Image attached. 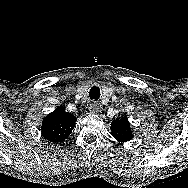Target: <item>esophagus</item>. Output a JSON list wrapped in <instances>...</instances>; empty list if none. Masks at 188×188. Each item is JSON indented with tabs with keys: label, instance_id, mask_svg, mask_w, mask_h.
Returning a JSON list of instances; mask_svg holds the SVG:
<instances>
[{
	"label": "esophagus",
	"instance_id": "esophagus-1",
	"mask_svg": "<svg viewBox=\"0 0 188 188\" xmlns=\"http://www.w3.org/2000/svg\"><path fill=\"white\" fill-rule=\"evenodd\" d=\"M99 111H100V105L95 101L91 102L89 105V112L95 114L98 113Z\"/></svg>",
	"mask_w": 188,
	"mask_h": 188
}]
</instances>
